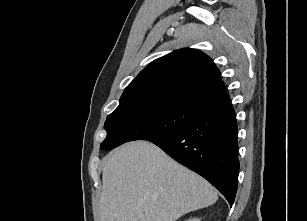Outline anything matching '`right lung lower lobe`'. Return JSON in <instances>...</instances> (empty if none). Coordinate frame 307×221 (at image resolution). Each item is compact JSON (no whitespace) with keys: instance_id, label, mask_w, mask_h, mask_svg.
<instances>
[{"instance_id":"1","label":"right lung lower lobe","mask_w":307,"mask_h":221,"mask_svg":"<svg viewBox=\"0 0 307 221\" xmlns=\"http://www.w3.org/2000/svg\"><path fill=\"white\" fill-rule=\"evenodd\" d=\"M148 141L204 177L233 204L239 161L235 111L229 101L208 108L173 133Z\"/></svg>"}]
</instances>
